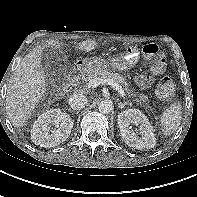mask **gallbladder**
<instances>
[{
  "label": "gallbladder",
  "mask_w": 197,
  "mask_h": 197,
  "mask_svg": "<svg viewBox=\"0 0 197 197\" xmlns=\"http://www.w3.org/2000/svg\"><path fill=\"white\" fill-rule=\"evenodd\" d=\"M52 49L50 48H44V50L42 51L41 54V63L42 65L47 68V71L49 70L50 74H53L51 70V65L53 63L52 59H53V53H52Z\"/></svg>",
  "instance_id": "bac80fb5"
}]
</instances>
